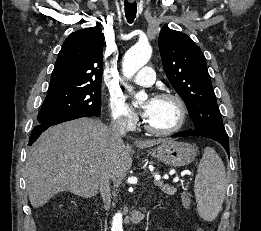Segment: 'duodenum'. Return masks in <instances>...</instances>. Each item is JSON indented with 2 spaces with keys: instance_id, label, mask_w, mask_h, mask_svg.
<instances>
[{
  "instance_id": "obj_1",
  "label": "duodenum",
  "mask_w": 261,
  "mask_h": 231,
  "mask_svg": "<svg viewBox=\"0 0 261 231\" xmlns=\"http://www.w3.org/2000/svg\"><path fill=\"white\" fill-rule=\"evenodd\" d=\"M134 217L136 220H141L143 217V208H140L139 210H137L134 214Z\"/></svg>"
}]
</instances>
